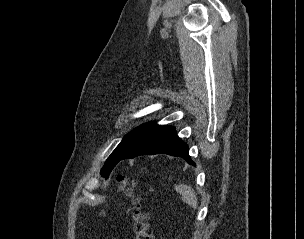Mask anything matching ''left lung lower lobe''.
I'll use <instances>...</instances> for the list:
<instances>
[{
    "label": "left lung lower lobe",
    "instance_id": "0a47b994",
    "mask_svg": "<svg viewBox=\"0 0 304 239\" xmlns=\"http://www.w3.org/2000/svg\"><path fill=\"white\" fill-rule=\"evenodd\" d=\"M160 153L182 157L187 163L195 165L188 154L187 144L176 135L175 128L172 126L160 127L136 144L121 160Z\"/></svg>",
    "mask_w": 304,
    "mask_h": 239
}]
</instances>
